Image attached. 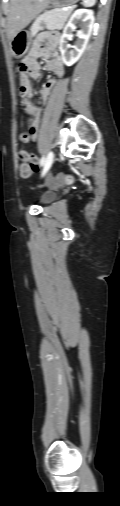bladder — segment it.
Listing matches in <instances>:
<instances>
[{
	"mask_svg": "<svg viewBox=\"0 0 120 506\" xmlns=\"http://www.w3.org/2000/svg\"><path fill=\"white\" fill-rule=\"evenodd\" d=\"M56 198V193L52 190L45 191L40 196V201L42 204H47L52 202Z\"/></svg>",
	"mask_w": 120,
	"mask_h": 506,
	"instance_id": "1",
	"label": "bladder"
}]
</instances>
